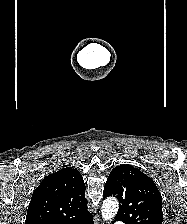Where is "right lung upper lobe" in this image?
I'll list each match as a JSON object with an SVG mask.
<instances>
[{
	"label": "right lung upper lobe",
	"mask_w": 187,
	"mask_h": 224,
	"mask_svg": "<svg viewBox=\"0 0 187 224\" xmlns=\"http://www.w3.org/2000/svg\"><path fill=\"white\" fill-rule=\"evenodd\" d=\"M84 193V181L76 169L48 175L33 192L25 224H82L92 218Z\"/></svg>",
	"instance_id": "obj_1"
}]
</instances>
